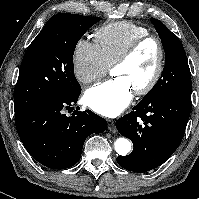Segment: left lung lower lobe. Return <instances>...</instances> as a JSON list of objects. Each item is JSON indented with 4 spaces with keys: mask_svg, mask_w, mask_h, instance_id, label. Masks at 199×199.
Segmentation results:
<instances>
[{
    "mask_svg": "<svg viewBox=\"0 0 199 199\" xmlns=\"http://www.w3.org/2000/svg\"><path fill=\"white\" fill-rule=\"evenodd\" d=\"M116 121V128L133 143L118 164L133 172H147L163 164L178 148L191 112V94L175 93L158 101L138 103Z\"/></svg>",
    "mask_w": 199,
    "mask_h": 199,
    "instance_id": "obj_1",
    "label": "left lung lower lobe"
}]
</instances>
